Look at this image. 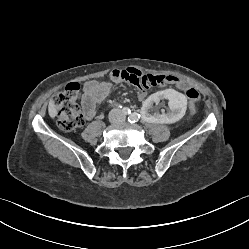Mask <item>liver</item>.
Instances as JSON below:
<instances>
[{"label":"liver","mask_w":249,"mask_h":249,"mask_svg":"<svg viewBox=\"0 0 249 249\" xmlns=\"http://www.w3.org/2000/svg\"><path fill=\"white\" fill-rule=\"evenodd\" d=\"M48 113H49V116L54 119L57 115V109H56V105L54 103L53 100H50L49 101V105H48Z\"/></svg>","instance_id":"obj_1"}]
</instances>
